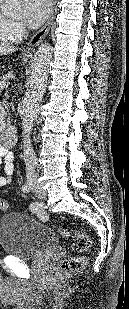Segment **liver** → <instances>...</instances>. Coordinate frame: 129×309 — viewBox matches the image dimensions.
Instances as JSON below:
<instances>
[{
    "instance_id": "obj_1",
    "label": "liver",
    "mask_w": 129,
    "mask_h": 309,
    "mask_svg": "<svg viewBox=\"0 0 129 309\" xmlns=\"http://www.w3.org/2000/svg\"><path fill=\"white\" fill-rule=\"evenodd\" d=\"M17 51V48L8 43H0V56H6Z\"/></svg>"
}]
</instances>
